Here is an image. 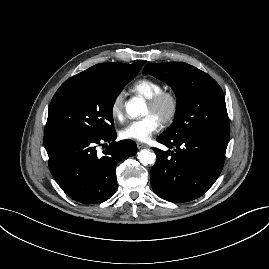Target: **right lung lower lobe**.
<instances>
[{
    "instance_id": "1",
    "label": "right lung lower lobe",
    "mask_w": 269,
    "mask_h": 269,
    "mask_svg": "<svg viewBox=\"0 0 269 269\" xmlns=\"http://www.w3.org/2000/svg\"><path fill=\"white\" fill-rule=\"evenodd\" d=\"M116 132L94 136L82 132L45 134L44 147L49 156V169L61 189L83 204L104 202L117 190L116 165L136 154L132 140L116 142ZM110 145L97 154V146Z\"/></svg>"
}]
</instances>
